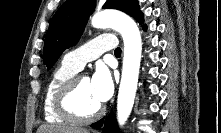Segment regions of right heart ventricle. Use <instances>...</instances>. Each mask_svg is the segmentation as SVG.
<instances>
[{"label": "right heart ventricle", "mask_w": 221, "mask_h": 133, "mask_svg": "<svg viewBox=\"0 0 221 133\" xmlns=\"http://www.w3.org/2000/svg\"><path fill=\"white\" fill-rule=\"evenodd\" d=\"M78 70L66 64L64 61L52 72L43 97V114L49 123L66 124L68 121L60 116L54 106V98L58 88L77 74Z\"/></svg>", "instance_id": "right-heart-ventricle-1"}]
</instances>
